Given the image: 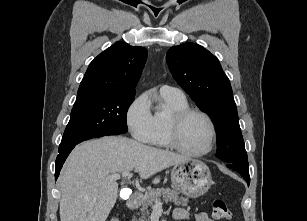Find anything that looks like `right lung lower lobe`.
Here are the masks:
<instances>
[{
  "mask_svg": "<svg viewBox=\"0 0 307 221\" xmlns=\"http://www.w3.org/2000/svg\"><path fill=\"white\" fill-rule=\"evenodd\" d=\"M74 147L75 146L67 148V149L62 150V151H59V154H58V156L56 158V162H55V179L58 178V176L60 174V170H61L66 158L68 157L69 153L72 151V149Z\"/></svg>",
  "mask_w": 307,
  "mask_h": 221,
  "instance_id": "obj_1",
  "label": "right lung lower lobe"
}]
</instances>
